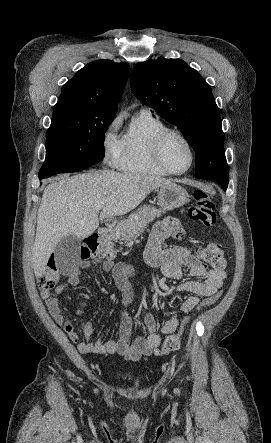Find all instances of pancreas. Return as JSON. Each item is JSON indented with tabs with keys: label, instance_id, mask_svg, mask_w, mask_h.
<instances>
[{
	"label": "pancreas",
	"instance_id": "1",
	"mask_svg": "<svg viewBox=\"0 0 271 443\" xmlns=\"http://www.w3.org/2000/svg\"><path fill=\"white\" fill-rule=\"evenodd\" d=\"M161 214H164V210H161V208L160 210H156V208H152V206H142V208H138L137 212L130 214L128 220H123V222L120 223V229L123 233L121 239L129 241L131 237H137L141 231H144L147 223L155 220V218H159ZM111 239H115L114 235H111Z\"/></svg>",
	"mask_w": 271,
	"mask_h": 443
}]
</instances>
